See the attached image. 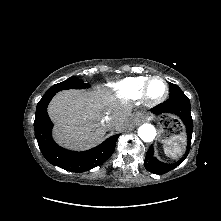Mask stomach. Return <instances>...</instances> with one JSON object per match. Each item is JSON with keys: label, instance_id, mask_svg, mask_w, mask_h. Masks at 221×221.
<instances>
[{"label": "stomach", "instance_id": "obj_1", "mask_svg": "<svg viewBox=\"0 0 221 221\" xmlns=\"http://www.w3.org/2000/svg\"><path fill=\"white\" fill-rule=\"evenodd\" d=\"M173 119L175 118L162 117L159 120V140L164 144H166L171 137L176 136V133L182 129L180 123Z\"/></svg>", "mask_w": 221, "mask_h": 221}]
</instances>
